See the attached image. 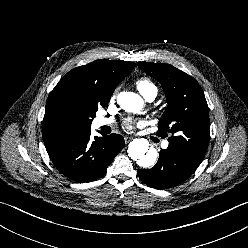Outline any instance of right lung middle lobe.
I'll return each instance as SVG.
<instances>
[{
	"label": "right lung middle lobe",
	"instance_id": "dd1d6c3e",
	"mask_svg": "<svg viewBox=\"0 0 248 248\" xmlns=\"http://www.w3.org/2000/svg\"><path fill=\"white\" fill-rule=\"evenodd\" d=\"M108 102L89 98L60 103L53 108L51 118L54 123L68 132L90 130L98 107H106Z\"/></svg>",
	"mask_w": 248,
	"mask_h": 248
}]
</instances>
